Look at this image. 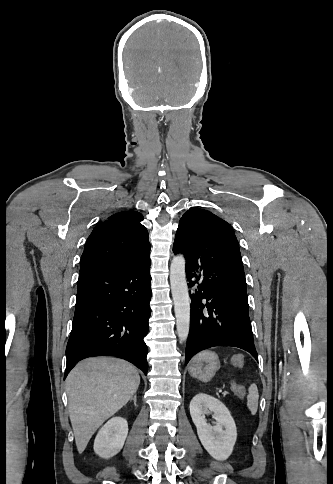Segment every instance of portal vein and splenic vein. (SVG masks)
<instances>
[{"label":"portal vein and splenic vein","mask_w":333,"mask_h":484,"mask_svg":"<svg viewBox=\"0 0 333 484\" xmlns=\"http://www.w3.org/2000/svg\"><path fill=\"white\" fill-rule=\"evenodd\" d=\"M222 391L223 396L229 395L230 393L223 388L220 389Z\"/></svg>","instance_id":"portal-vein-and-splenic-vein-1"}]
</instances>
